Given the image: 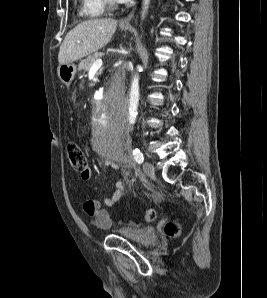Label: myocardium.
<instances>
[{"label": "myocardium", "mask_w": 267, "mask_h": 298, "mask_svg": "<svg viewBox=\"0 0 267 298\" xmlns=\"http://www.w3.org/2000/svg\"><path fill=\"white\" fill-rule=\"evenodd\" d=\"M104 5L106 8L113 10L117 7V2L116 0H103Z\"/></svg>", "instance_id": "obj_1"}]
</instances>
